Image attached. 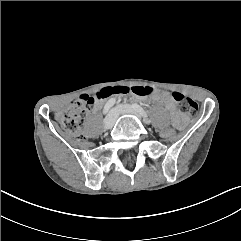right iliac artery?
I'll use <instances>...</instances> for the list:
<instances>
[{
    "label": "right iliac artery",
    "instance_id": "82829eb1",
    "mask_svg": "<svg viewBox=\"0 0 241 241\" xmlns=\"http://www.w3.org/2000/svg\"><path fill=\"white\" fill-rule=\"evenodd\" d=\"M115 99H110L104 106V109H103V114H106L109 109L115 104Z\"/></svg>",
    "mask_w": 241,
    "mask_h": 241
}]
</instances>
